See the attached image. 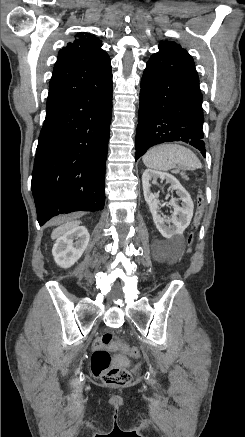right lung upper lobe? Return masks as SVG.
Segmentation results:
<instances>
[{"instance_id": "cb5924a9", "label": "right lung upper lobe", "mask_w": 245, "mask_h": 437, "mask_svg": "<svg viewBox=\"0 0 245 437\" xmlns=\"http://www.w3.org/2000/svg\"><path fill=\"white\" fill-rule=\"evenodd\" d=\"M75 37L58 53L47 105L95 90L112 77L110 58L101 49L102 42L90 33L79 32Z\"/></svg>"}]
</instances>
